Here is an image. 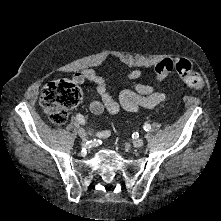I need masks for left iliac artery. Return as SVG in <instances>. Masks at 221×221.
I'll return each mask as SVG.
<instances>
[{
  "instance_id": "left-iliac-artery-1",
  "label": "left iliac artery",
  "mask_w": 221,
  "mask_h": 221,
  "mask_svg": "<svg viewBox=\"0 0 221 221\" xmlns=\"http://www.w3.org/2000/svg\"><path fill=\"white\" fill-rule=\"evenodd\" d=\"M143 128L145 131H149L151 129V126L150 124H145Z\"/></svg>"
}]
</instances>
